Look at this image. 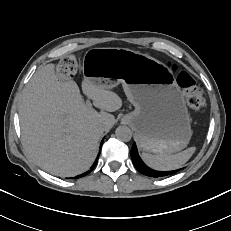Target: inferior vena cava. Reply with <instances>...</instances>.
<instances>
[{
    "label": "inferior vena cava",
    "mask_w": 231,
    "mask_h": 231,
    "mask_svg": "<svg viewBox=\"0 0 231 231\" xmlns=\"http://www.w3.org/2000/svg\"><path fill=\"white\" fill-rule=\"evenodd\" d=\"M105 127H104V124H99V129H104Z\"/></svg>",
    "instance_id": "602c4592"
}]
</instances>
